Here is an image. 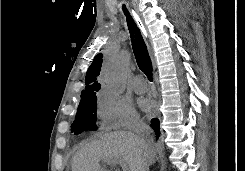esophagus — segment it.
Masks as SVG:
<instances>
[{"label": "esophagus", "mask_w": 245, "mask_h": 171, "mask_svg": "<svg viewBox=\"0 0 245 171\" xmlns=\"http://www.w3.org/2000/svg\"><path fill=\"white\" fill-rule=\"evenodd\" d=\"M126 6H127L128 11L135 17V15H134L133 11L131 10V8L129 7V5L127 4ZM138 24H139V22H138ZM143 33H144V36H145L144 39H145V42H146V45H147L148 53H149V56L151 58L153 70L155 71L157 64H156V57H155L154 51H153V46H152L151 40L147 36L146 32L143 31Z\"/></svg>", "instance_id": "34e87169"}]
</instances>
